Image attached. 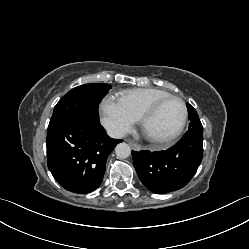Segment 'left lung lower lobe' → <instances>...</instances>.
<instances>
[{"label": "left lung lower lobe", "instance_id": "0a47b994", "mask_svg": "<svg viewBox=\"0 0 249 249\" xmlns=\"http://www.w3.org/2000/svg\"><path fill=\"white\" fill-rule=\"evenodd\" d=\"M137 174L150 191L163 194L184 187L196 173L203 157V131L188 130L165 151H132Z\"/></svg>", "mask_w": 249, "mask_h": 249}]
</instances>
